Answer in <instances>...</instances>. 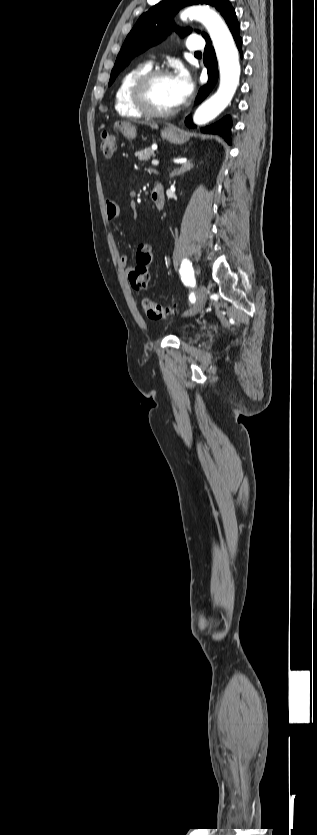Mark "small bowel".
<instances>
[{"label": "small bowel", "instance_id": "1", "mask_svg": "<svg viewBox=\"0 0 317 835\" xmlns=\"http://www.w3.org/2000/svg\"><path fill=\"white\" fill-rule=\"evenodd\" d=\"M106 213L109 220H116L120 216V208L118 204L113 200H107L106 202ZM154 254L153 246L150 243H141L138 246L137 253H136V261L139 260H147L150 257L152 261ZM129 262V258L127 255L122 254L120 256V263L122 266L127 267ZM132 268L130 269V271Z\"/></svg>", "mask_w": 317, "mask_h": 835}]
</instances>
